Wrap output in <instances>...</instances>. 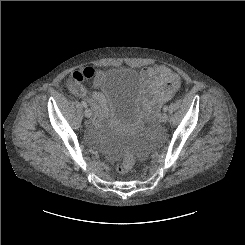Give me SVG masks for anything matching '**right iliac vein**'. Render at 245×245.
I'll use <instances>...</instances> for the list:
<instances>
[{
	"instance_id": "obj_1",
	"label": "right iliac vein",
	"mask_w": 245,
	"mask_h": 245,
	"mask_svg": "<svg viewBox=\"0 0 245 245\" xmlns=\"http://www.w3.org/2000/svg\"><path fill=\"white\" fill-rule=\"evenodd\" d=\"M84 113H85V116H86L87 118L91 117V114H92V113H91V110H90L89 108H86Z\"/></svg>"
}]
</instances>
